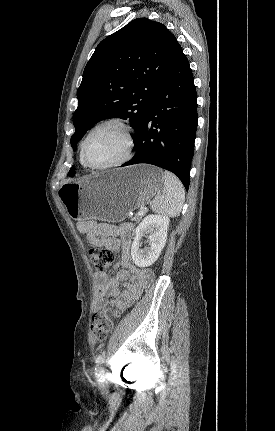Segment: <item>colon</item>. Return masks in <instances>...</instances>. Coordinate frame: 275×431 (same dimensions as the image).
<instances>
[{
    "label": "colon",
    "instance_id": "obj_1",
    "mask_svg": "<svg viewBox=\"0 0 275 431\" xmlns=\"http://www.w3.org/2000/svg\"><path fill=\"white\" fill-rule=\"evenodd\" d=\"M92 265L98 272L106 271L114 261V254L105 248H92L89 251ZM119 317L118 312L107 314L104 311L94 313L91 321V332L97 340H104L113 328V319Z\"/></svg>",
    "mask_w": 275,
    "mask_h": 431
}]
</instances>
